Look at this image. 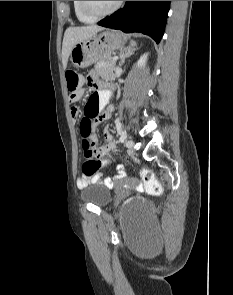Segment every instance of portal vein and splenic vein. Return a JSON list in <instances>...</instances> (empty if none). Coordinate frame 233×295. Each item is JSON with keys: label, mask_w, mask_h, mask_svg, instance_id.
I'll return each instance as SVG.
<instances>
[{"label": "portal vein and splenic vein", "mask_w": 233, "mask_h": 295, "mask_svg": "<svg viewBox=\"0 0 233 295\" xmlns=\"http://www.w3.org/2000/svg\"><path fill=\"white\" fill-rule=\"evenodd\" d=\"M117 59H118V57H114L112 60H113V61H116Z\"/></svg>", "instance_id": "1"}]
</instances>
